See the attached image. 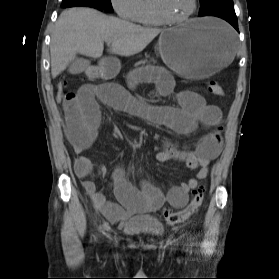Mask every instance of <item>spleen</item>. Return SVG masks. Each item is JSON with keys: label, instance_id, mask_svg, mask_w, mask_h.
<instances>
[{"label": "spleen", "instance_id": "spleen-1", "mask_svg": "<svg viewBox=\"0 0 279 279\" xmlns=\"http://www.w3.org/2000/svg\"><path fill=\"white\" fill-rule=\"evenodd\" d=\"M222 30H223L224 32H227V31H228L226 28H222ZM233 35H234V34H233Z\"/></svg>", "mask_w": 279, "mask_h": 279}]
</instances>
